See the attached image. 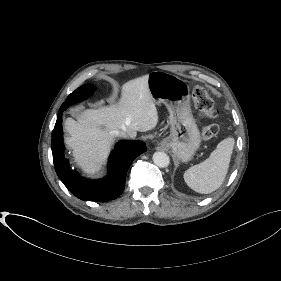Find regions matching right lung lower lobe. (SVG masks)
<instances>
[{
  "instance_id": "1",
  "label": "right lung lower lobe",
  "mask_w": 281,
  "mask_h": 281,
  "mask_svg": "<svg viewBox=\"0 0 281 281\" xmlns=\"http://www.w3.org/2000/svg\"><path fill=\"white\" fill-rule=\"evenodd\" d=\"M64 111L58 113L52 133L53 162L58 177L67 189L81 200L105 202L117 198L125 188L126 174L133 160L146 151L145 143L133 140L117 143L109 158L107 177L101 180L78 177L77 172L70 168L69 161L64 157L62 131Z\"/></svg>"
}]
</instances>
